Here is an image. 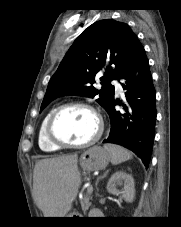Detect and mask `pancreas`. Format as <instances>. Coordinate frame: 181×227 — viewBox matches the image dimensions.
Instances as JSON below:
<instances>
[{"mask_svg":"<svg viewBox=\"0 0 181 227\" xmlns=\"http://www.w3.org/2000/svg\"><path fill=\"white\" fill-rule=\"evenodd\" d=\"M91 194L92 193L87 192L84 199L81 201V207L84 213H86L89 207L91 206V202H90V200L92 199Z\"/></svg>","mask_w":181,"mask_h":227,"instance_id":"cf45deb5","label":"pancreas"}]
</instances>
